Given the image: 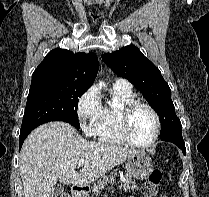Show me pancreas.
I'll return each instance as SVG.
<instances>
[{"label": "pancreas", "instance_id": "cf45deb5", "mask_svg": "<svg viewBox=\"0 0 209 197\" xmlns=\"http://www.w3.org/2000/svg\"><path fill=\"white\" fill-rule=\"evenodd\" d=\"M116 175V173L112 172L108 176H103L102 180H99L97 184L94 185L92 190L93 194L98 195L108 183L114 182ZM120 187H122L125 191H136L138 189L135 181L129 175L124 176V181L121 182Z\"/></svg>", "mask_w": 209, "mask_h": 197}]
</instances>
